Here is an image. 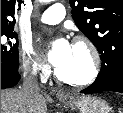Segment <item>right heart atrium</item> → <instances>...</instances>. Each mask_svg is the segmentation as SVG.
<instances>
[{
    "mask_svg": "<svg viewBox=\"0 0 123 113\" xmlns=\"http://www.w3.org/2000/svg\"><path fill=\"white\" fill-rule=\"evenodd\" d=\"M20 61L23 70L32 76L43 78L48 73L49 67L30 43L21 45Z\"/></svg>",
    "mask_w": 123,
    "mask_h": 113,
    "instance_id": "obj_1",
    "label": "right heart atrium"
}]
</instances>
